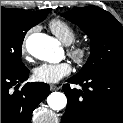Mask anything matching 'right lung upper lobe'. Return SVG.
<instances>
[{"mask_svg":"<svg viewBox=\"0 0 123 123\" xmlns=\"http://www.w3.org/2000/svg\"><path fill=\"white\" fill-rule=\"evenodd\" d=\"M20 10H22V9H20ZM45 10H49V9H43V10H40V11H38V12H43V11H45ZM23 11H26V10H23Z\"/></svg>","mask_w":123,"mask_h":123,"instance_id":"obj_1","label":"right lung upper lobe"}]
</instances>
